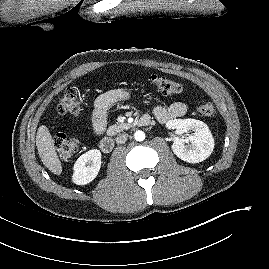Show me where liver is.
<instances>
[{"mask_svg": "<svg viewBox=\"0 0 269 269\" xmlns=\"http://www.w3.org/2000/svg\"><path fill=\"white\" fill-rule=\"evenodd\" d=\"M36 146L43 164L54 174L60 175L62 172L61 162L55 150L54 140L45 125L38 128Z\"/></svg>", "mask_w": 269, "mask_h": 269, "instance_id": "obj_1", "label": "liver"}]
</instances>
